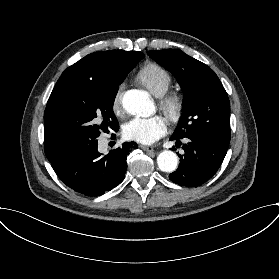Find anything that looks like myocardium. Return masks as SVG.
<instances>
[{"label": "myocardium", "instance_id": "f54148a6", "mask_svg": "<svg viewBox=\"0 0 279 279\" xmlns=\"http://www.w3.org/2000/svg\"><path fill=\"white\" fill-rule=\"evenodd\" d=\"M160 104L170 121L177 122L180 119L183 112V100L179 94L165 93L160 97Z\"/></svg>", "mask_w": 279, "mask_h": 279}]
</instances>
